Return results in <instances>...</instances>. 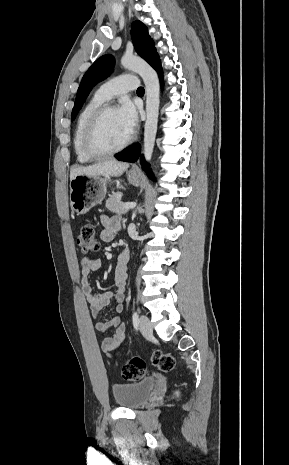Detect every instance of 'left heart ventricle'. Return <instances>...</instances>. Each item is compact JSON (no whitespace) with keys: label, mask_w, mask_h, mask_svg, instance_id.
<instances>
[{"label":"left heart ventricle","mask_w":289,"mask_h":465,"mask_svg":"<svg viewBox=\"0 0 289 465\" xmlns=\"http://www.w3.org/2000/svg\"><path fill=\"white\" fill-rule=\"evenodd\" d=\"M129 136L124 131L116 109L105 114L100 126L98 140L102 147L113 148L122 144Z\"/></svg>","instance_id":"obj_1"}]
</instances>
